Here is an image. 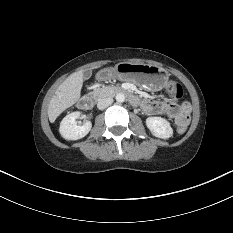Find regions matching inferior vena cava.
Returning a JSON list of instances; mask_svg holds the SVG:
<instances>
[{
  "instance_id": "602c4592",
  "label": "inferior vena cava",
  "mask_w": 233,
  "mask_h": 233,
  "mask_svg": "<svg viewBox=\"0 0 233 233\" xmlns=\"http://www.w3.org/2000/svg\"><path fill=\"white\" fill-rule=\"evenodd\" d=\"M112 103H113V99L111 97L101 98L97 103V108L103 110L108 106H110Z\"/></svg>"
}]
</instances>
